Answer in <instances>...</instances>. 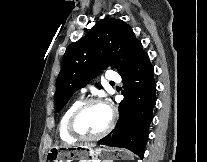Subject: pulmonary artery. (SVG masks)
Returning <instances> with one entry per match:
<instances>
[{"mask_svg":"<svg viewBox=\"0 0 207 162\" xmlns=\"http://www.w3.org/2000/svg\"><path fill=\"white\" fill-rule=\"evenodd\" d=\"M106 77H107V79L112 80L115 83H118L120 81V77L116 73H108ZM82 92L85 93L86 92V88H82Z\"/></svg>","mask_w":207,"mask_h":162,"instance_id":"e3ab8cb5","label":"pulmonary artery"}]
</instances>
